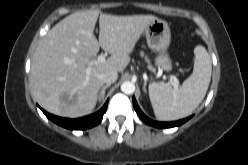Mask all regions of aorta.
Instances as JSON below:
<instances>
[{"label":"aorta","instance_id":"obj_1","mask_svg":"<svg viewBox=\"0 0 248 165\" xmlns=\"http://www.w3.org/2000/svg\"><path fill=\"white\" fill-rule=\"evenodd\" d=\"M121 91L125 94H132L135 91V84L130 81H125L121 84Z\"/></svg>","mask_w":248,"mask_h":165}]
</instances>
